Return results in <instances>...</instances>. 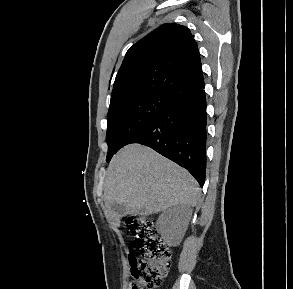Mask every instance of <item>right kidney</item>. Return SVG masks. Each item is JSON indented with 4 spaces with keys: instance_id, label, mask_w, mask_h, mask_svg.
Wrapping results in <instances>:
<instances>
[{
    "instance_id": "right-kidney-1",
    "label": "right kidney",
    "mask_w": 293,
    "mask_h": 289,
    "mask_svg": "<svg viewBox=\"0 0 293 289\" xmlns=\"http://www.w3.org/2000/svg\"><path fill=\"white\" fill-rule=\"evenodd\" d=\"M191 211L184 206H175L165 210L157 220V227L164 240L171 245L178 244L189 224Z\"/></svg>"
}]
</instances>
